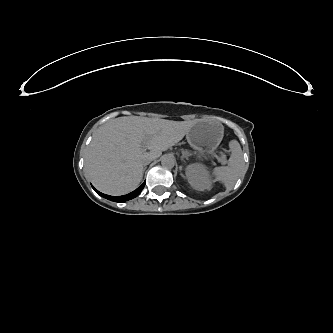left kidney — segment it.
Masks as SVG:
<instances>
[{
    "mask_svg": "<svg viewBox=\"0 0 333 333\" xmlns=\"http://www.w3.org/2000/svg\"><path fill=\"white\" fill-rule=\"evenodd\" d=\"M185 175L190 186L198 191L210 190L214 179L207 165L202 162L189 164L186 167Z\"/></svg>",
    "mask_w": 333,
    "mask_h": 333,
    "instance_id": "1",
    "label": "left kidney"
}]
</instances>
